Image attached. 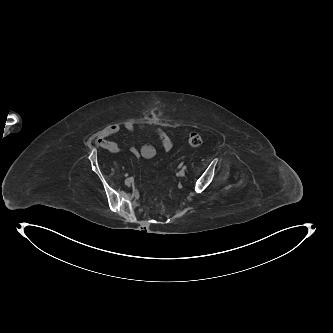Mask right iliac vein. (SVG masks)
Listing matches in <instances>:
<instances>
[{
	"mask_svg": "<svg viewBox=\"0 0 333 333\" xmlns=\"http://www.w3.org/2000/svg\"><path fill=\"white\" fill-rule=\"evenodd\" d=\"M126 181L128 182V185H127V186H130L131 183H132V178H127Z\"/></svg>",
	"mask_w": 333,
	"mask_h": 333,
	"instance_id": "1",
	"label": "right iliac vein"
}]
</instances>
